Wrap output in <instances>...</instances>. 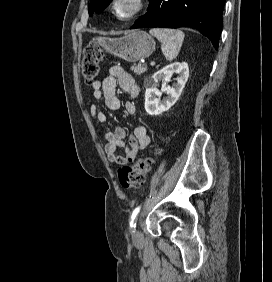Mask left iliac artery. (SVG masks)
<instances>
[{"mask_svg":"<svg viewBox=\"0 0 272 282\" xmlns=\"http://www.w3.org/2000/svg\"><path fill=\"white\" fill-rule=\"evenodd\" d=\"M140 211V206L135 208L134 211L132 212V215H131V220H130V227H135V224H134V220L136 219L138 213Z\"/></svg>","mask_w":272,"mask_h":282,"instance_id":"left-iliac-artery-1","label":"left iliac artery"}]
</instances>
